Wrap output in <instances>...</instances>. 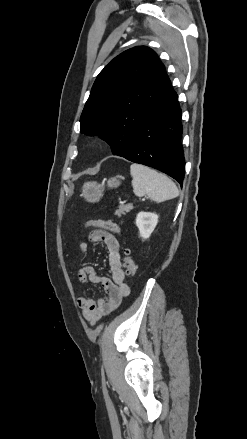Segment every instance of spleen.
<instances>
[{
	"mask_svg": "<svg viewBox=\"0 0 247 439\" xmlns=\"http://www.w3.org/2000/svg\"><path fill=\"white\" fill-rule=\"evenodd\" d=\"M133 192L136 196H148L154 202H164L179 195L176 184L165 174L140 164L130 166Z\"/></svg>",
	"mask_w": 247,
	"mask_h": 439,
	"instance_id": "3e777b00",
	"label": "spleen"
}]
</instances>
